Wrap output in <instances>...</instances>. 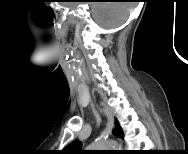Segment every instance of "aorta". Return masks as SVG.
<instances>
[{
  "label": "aorta",
  "instance_id": "aorta-1",
  "mask_svg": "<svg viewBox=\"0 0 188 154\" xmlns=\"http://www.w3.org/2000/svg\"><path fill=\"white\" fill-rule=\"evenodd\" d=\"M118 145L112 140L97 139L88 146L90 150H115Z\"/></svg>",
  "mask_w": 188,
  "mask_h": 154
}]
</instances>
